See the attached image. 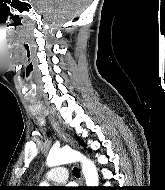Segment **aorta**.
Masks as SVG:
<instances>
[{"instance_id":"1","label":"aorta","mask_w":165,"mask_h":190,"mask_svg":"<svg viewBox=\"0 0 165 190\" xmlns=\"http://www.w3.org/2000/svg\"><path fill=\"white\" fill-rule=\"evenodd\" d=\"M76 161L82 163V172L86 180V185L88 187H97L99 178L96 166L79 152L71 149H52L47 157V165L50 167Z\"/></svg>"}]
</instances>
